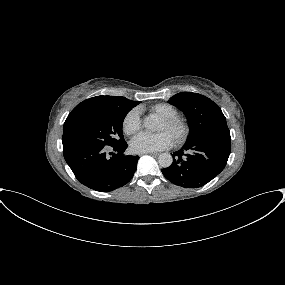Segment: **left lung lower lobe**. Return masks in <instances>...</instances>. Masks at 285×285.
I'll list each match as a JSON object with an SVG mask.
<instances>
[{"label":"left lung lower lobe","mask_w":285,"mask_h":285,"mask_svg":"<svg viewBox=\"0 0 285 285\" xmlns=\"http://www.w3.org/2000/svg\"><path fill=\"white\" fill-rule=\"evenodd\" d=\"M231 137L219 134L199 136L173 154L171 166L162 169L163 175L185 188H198L216 177L226 166L230 155ZM185 151H192L185 154Z\"/></svg>","instance_id":"1"}]
</instances>
